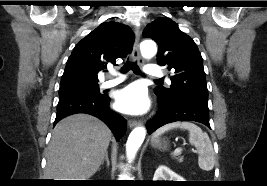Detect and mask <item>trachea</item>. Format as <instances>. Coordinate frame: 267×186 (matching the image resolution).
I'll use <instances>...</instances> for the list:
<instances>
[{"label":"trachea","instance_id":"1","mask_svg":"<svg viewBox=\"0 0 267 186\" xmlns=\"http://www.w3.org/2000/svg\"><path fill=\"white\" fill-rule=\"evenodd\" d=\"M129 70H132L134 73L136 74H140L141 71L137 65V61L135 62H131L129 61V59H127L126 63L124 64V66L121 68V72L122 73H126ZM157 81H162V79H157Z\"/></svg>","mask_w":267,"mask_h":186}]
</instances>
